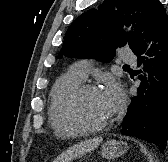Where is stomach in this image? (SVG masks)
<instances>
[{"mask_svg": "<svg viewBox=\"0 0 168 162\" xmlns=\"http://www.w3.org/2000/svg\"><path fill=\"white\" fill-rule=\"evenodd\" d=\"M127 148L123 141L110 140L102 146L101 155L105 159L112 160L123 155Z\"/></svg>", "mask_w": 168, "mask_h": 162, "instance_id": "obj_1", "label": "stomach"}]
</instances>
